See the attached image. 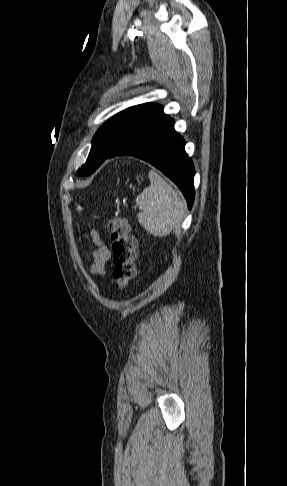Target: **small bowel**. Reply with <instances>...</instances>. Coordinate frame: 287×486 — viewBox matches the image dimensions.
<instances>
[{
	"instance_id": "obj_1",
	"label": "small bowel",
	"mask_w": 287,
	"mask_h": 486,
	"mask_svg": "<svg viewBox=\"0 0 287 486\" xmlns=\"http://www.w3.org/2000/svg\"><path fill=\"white\" fill-rule=\"evenodd\" d=\"M90 237L96 245L92 254V263L89 272L94 275L103 276L106 274L107 264L111 259V251L102 241L99 232L96 229L90 230Z\"/></svg>"
}]
</instances>
